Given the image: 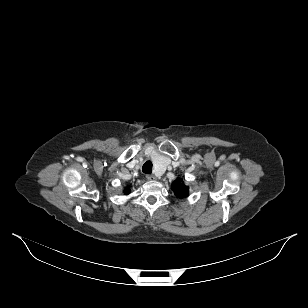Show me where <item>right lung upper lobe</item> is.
Listing matches in <instances>:
<instances>
[{
    "instance_id": "1",
    "label": "right lung upper lobe",
    "mask_w": 308,
    "mask_h": 308,
    "mask_svg": "<svg viewBox=\"0 0 308 308\" xmlns=\"http://www.w3.org/2000/svg\"><path fill=\"white\" fill-rule=\"evenodd\" d=\"M124 193H125V194H128V193H129V190H128V189L124 190Z\"/></svg>"
}]
</instances>
